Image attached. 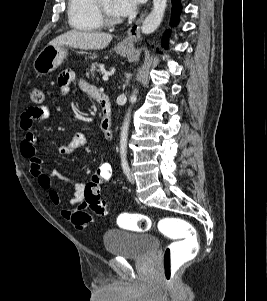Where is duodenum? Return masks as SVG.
Returning <instances> with one entry per match:
<instances>
[{"label": "duodenum", "mask_w": 267, "mask_h": 301, "mask_svg": "<svg viewBox=\"0 0 267 301\" xmlns=\"http://www.w3.org/2000/svg\"><path fill=\"white\" fill-rule=\"evenodd\" d=\"M94 99L98 102L102 112L101 128L111 140L113 135L110 99L107 95L100 93V91L95 95Z\"/></svg>", "instance_id": "duodenum-1"}]
</instances>
